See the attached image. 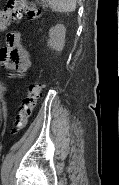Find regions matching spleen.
I'll use <instances>...</instances> for the list:
<instances>
[{"label": "spleen", "mask_w": 119, "mask_h": 185, "mask_svg": "<svg viewBox=\"0 0 119 185\" xmlns=\"http://www.w3.org/2000/svg\"><path fill=\"white\" fill-rule=\"evenodd\" d=\"M56 12H73L76 9L77 0H41Z\"/></svg>", "instance_id": "spleen-1"}]
</instances>
